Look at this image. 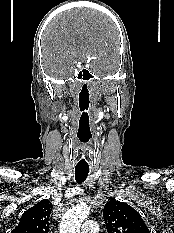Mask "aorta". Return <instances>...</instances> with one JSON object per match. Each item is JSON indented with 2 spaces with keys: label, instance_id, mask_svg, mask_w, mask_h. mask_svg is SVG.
<instances>
[{
  "label": "aorta",
  "instance_id": "aorta-1",
  "mask_svg": "<svg viewBox=\"0 0 174 233\" xmlns=\"http://www.w3.org/2000/svg\"><path fill=\"white\" fill-rule=\"evenodd\" d=\"M89 215V207L86 204L73 206L62 217L60 233H80L82 222Z\"/></svg>",
  "mask_w": 174,
  "mask_h": 233
}]
</instances>
